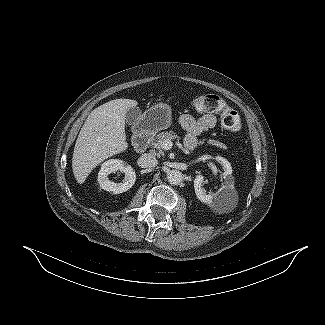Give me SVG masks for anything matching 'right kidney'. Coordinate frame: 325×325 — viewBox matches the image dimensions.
<instances>
[{
	"mask_svg": "<svg viewBox=\"0 0 325 325\" xmlns=\"http://www.w3.org/2000/svg\"><path fill=\"white\" fill-rule=\"evenodd\" d=\"M118 170L125 173L123 183L111 182L108 178L109 174ZM135 181L136 173L133 168L119 159H110L108 161H105L101 165V169L98 173V182L100 187L103 190L113 192L114 194H119L127 191L134 185Z\"/></svg>",
	"mask_w": 325,
	"mask_h": 325,
	"instance_id": "right-kidney-1",
	"label": "right kidney"
}]
</instances>
